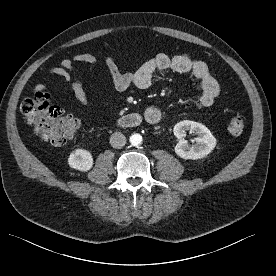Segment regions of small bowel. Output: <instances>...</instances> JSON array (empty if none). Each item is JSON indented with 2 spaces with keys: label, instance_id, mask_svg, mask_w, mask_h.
Masks as SVG:
<instances>
[{
  "label": "small bowel",
  "instance_id": "1",
  "mask_svg": "<svg viewBox=\"0 0 276 276\" xmlns=\"http://www.w3.org/2000/svg\"><path fill=\"white\" fill-rule=\"evenodd\" d=\"M73 62L95 64L97 58L89 53H79L71 59H62L59 65L51 68L49 72L52 75L60 77L63 84H70L76 99L82 105H87L88 100L82 84L75 73ZM105 64L112 80V88L107 97V101H109L115 92H122L130 87H135L140 90L149 88L156 73L168 70L180 74L190 73L194 77L202 91L201 96L195 102L198 109L211 107L219 95V84L210 74L206 63L193 59L187 54H178L172 57L163 53L158 54L131 73H122L119 69L117 59L114 57L106 58ZM46 89L47 85L44 83H38L34 87L35 92L45 91ZM144 117L148 123L156 124L161 120L162 113L157 107L151 106L145 110Z\"/></svg>",
  "mask_w": 276,
  "mask_h": 276
}]
</instances>
